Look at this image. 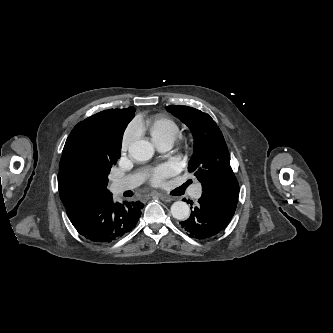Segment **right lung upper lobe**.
<instances>
[{
    "label": "right lung upper lobe",
    "instance_id": "cb5924a9",
    "mask_svg": "<svg viewBox=\"0 0 333 333\" xmlns=\"http://www.w3.org/2000/svg\"><path fill=\"white\" fill-rule=\"evenodd\" d=\"M133 108L129 107L128 109L132 110ZM81 125L82 122L78 123L69 137H72L81 128ZM66 157L67 151L64 146L59 165L58 188L60 198L66 209L101 200L111 194L106 188L75 177L65 165Z\"/></svg>",
    "mask_w": 333,
    "mask_h": 333
}]
</instances>
